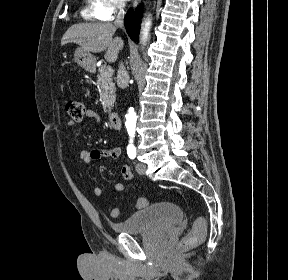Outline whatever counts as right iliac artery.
Returning <instances> with one entry per match:
<instances>
[{
  "instance_id": "obj_1",
  "label": "right iliac artery",
  "mask_w": 288,
  "mask_h": 280,
  "mask_svg": "<svg viewBox=\"0 0 288 280\" xmlns=\"http://www.w3.org/2000/svg\"><path fill=\"white\" fill-rule=\"evenodd\" d=\"M127 154L131 159H134L136 157V148L134 147L133 144L128 145Z\"/></svg>"
}]
</instances>
